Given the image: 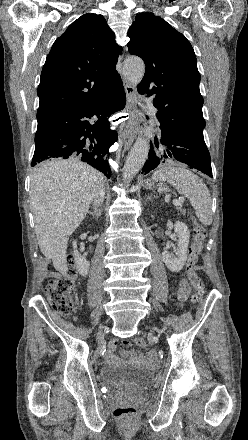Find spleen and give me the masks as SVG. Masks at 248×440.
<instances>
[{
    "label": "spleen",
    "instance_id": "obj_1",
    "mask_svg": "<svg viewBox=\"0 0 248 440\" xmlns=\"http://www.w3.org/2000/svg\"><path fill=\"white\" fill-rule=\"evenodd\" d=\"M152 179L173 185L180 194L189 198L199 221L203 225L212 224V199L201 178L185 168L167 166L155 171Z\"/></svg>",
    "mask_w": 248,
    "mask_h": 440
}]
</instances>
